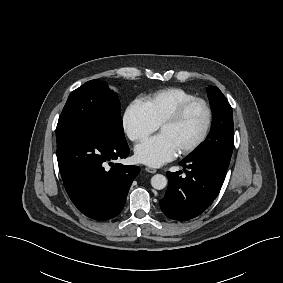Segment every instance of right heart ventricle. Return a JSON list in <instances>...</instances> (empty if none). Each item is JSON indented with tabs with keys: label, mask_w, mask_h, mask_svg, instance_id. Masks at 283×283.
<instances>
[{
	"label": "right heart ventricle",
	"mask_w": 283,
	"mask_h": 283,
	"mask_svg": "<svg viewBox=\"0 0 283 283\" xmlns=\"http://www.w3.org/2000/svg\"><path fill=\"white\" fill-rule=\"evenodd\" d=\"M194 97V94L183 88L170 87L148 94L143 103L153 121L159 125L182 103Z\"/></svg>",
	"instance_id": "1"
}]
</instances>
